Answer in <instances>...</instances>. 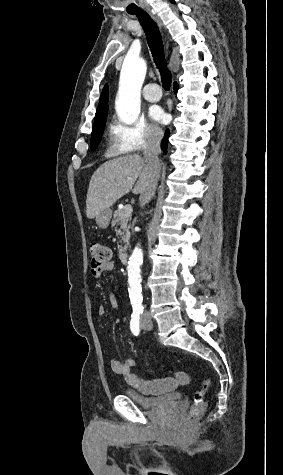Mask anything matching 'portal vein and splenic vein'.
<instances>
[{
    "label": "portal vein and splenic vein",
    "instance_id": "18ae733b",
    "mask_svg": "<svg viewBox=\"0 0 283 475\" xmlns=\"http://www.w3.org/2000/svg\"><path fill=\"white\" fill-rule=\"evenodd\" d=\"M122 208H123V206H122ZM127 210H128V212H132L131 206H127Z\"/></svg>",
    "mask_w": 283,
    "mask_h": 475
}]
</instances>
